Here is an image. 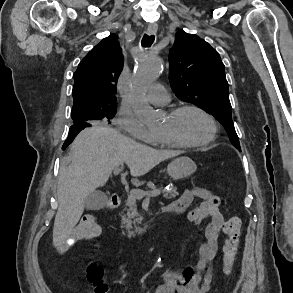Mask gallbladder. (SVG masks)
I'll use <instances>...</instances> for the list:
<instances>
[{"instance_id": "bac80fb5", "label": "gallbladder", "mask_w": 293, "mask_h": 293, "mask_svg": "<svg viewBox=\"0 0 293 293\" xmlns=\"http://www.w3.org/2000/svg\"><path fill=\"white\" fill-rule=\"evenodd\" d=\"M106 203L107 195L101 191H94L86 197L84 207L87 210L96 211L102 209Z\"/></svg>"}]
</instances>
